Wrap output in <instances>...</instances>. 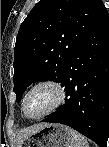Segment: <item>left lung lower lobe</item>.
<instances>
[{
  "label": "left lung lower lobe",
  "mask_w": 109,
  "mask_h": 147,
  "mask_svg": "<svg viewBox=\"0 0 109 147\" xmlns=\"http://www.w3.org/2000/svg\"><path fill=\"white\" fill-rule=\"evenodd\" d=\"M65 103L42 122L60 123L98 146L109 137V18L106 11L76 48L61 81Z\"/></svg>",
  "instance_id": "obj_1"
}]
</instances>
